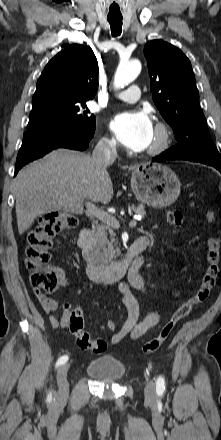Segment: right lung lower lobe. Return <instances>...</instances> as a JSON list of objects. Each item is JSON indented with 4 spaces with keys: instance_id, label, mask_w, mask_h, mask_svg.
I'll return each instance as SVG.
<instances>
[{
    "instance_id": "obj_1",
    "label": "right lung lower lobe",
    "mask_w": 221,
    "mask_h": 440,
    "mask_svg": "<svg viewBox=\"0 0 221 440\" xmlns=\"http://www.w3.org/2000/svg\"><path fill=\"white\" fill-rule=\"evenodd\" d=\"M94 133L84 134L58 128H38L25 132L16 159L15 175L29 162L43 157L56 148L86 150Z\"/></svg>"
}]
</instances>
